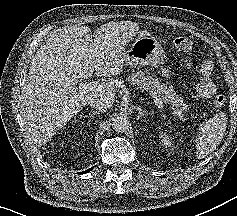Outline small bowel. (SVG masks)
<instances>
[{
    "label": "small bowel",
    "mask_w": 237,
    "mask_h": 216,
    "mask_svg": "<svg viewBox=\"0 0 237 216\" xmlns=\"http://www.w3.org/2000/svg\"><path fill=\"white\" fill-rule=\"evenodd\" d=\"M213 65L210 61H205L201 65L202 80L196 87L197 95L201 98H209L215 91V86L211 80ZM160 73L163 77H169L170 71L167 68H162Z\"/></svg>",
    "instance_id": "1"
}]
</instances>
